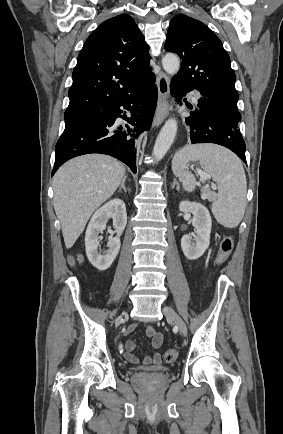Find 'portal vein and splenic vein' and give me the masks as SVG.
<instances>
[{
    "instance_id": "obj_1",
    "label": "portal vein and splenic vein",
    "mask_w": 283,
    "mask_h": 434,
    "mask_svg": "<svg viewBox=\"0 0 283 434\" xmlns=\"http://www.w3.org/2000/svg\"><path fill=\"white\" fill-rule=\"evenodd\" d=\"M199 175H200V177H201L202 180L209 179V176L207 174H205V173L199 172Z\"/></svg>"
}]
</instances>
